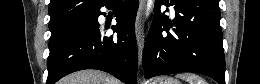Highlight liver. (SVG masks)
I'll list each match as a JSON object with an SVG mask.
<instances>
[{
    "label": "liver",
    "instance_id": "obj_1",
    "mask_svg": "<svg viewBox=\"0 0 260 84\" xmlns=\"http://www.w3.org/2000/svg\"><path fill=\"white\" fill-rule=\"evenodd\" d=\"M60 84H120V82L101 71L83 70L63 78Z\"/></svg>",
    "mask_w": 260,
    "mask_h": 84
}]
</instances>
